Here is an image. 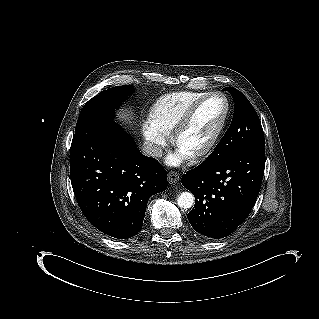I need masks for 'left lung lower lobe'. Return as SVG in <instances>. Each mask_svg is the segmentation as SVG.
Returning <instances> with one entry per match:
<instances>
[{
  "label": "left lung lower lobe",
  "mask_w": 319,
  "mask_h": 319,
  "mask_svg": "<svg viewBox=\"0 0 319 319\" xmlns=\"http://www.w3.org/2000/svg\"><path fill=\"white\" fill-rule=\"evenodd\" d=\"M265 149L235 153L219 162L206 160L183 174L181 182L195 196L188 213L193 229L206 239L230 235L249 215L260 191Z\"/></svg>",
  "instance_id": "0a47b994"
}]
</instances>
